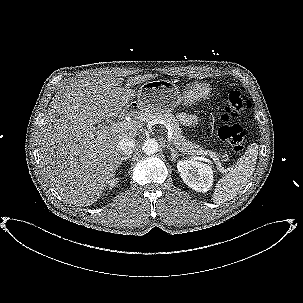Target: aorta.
<instances>
[{
  "label": "aorta",
  "instance_id": "1",
  "mask_svg": "<svg viewBox=\"0 0 303 303\" xmlns=\"http://www.w3.org/2000/svg\"><path fill=\"white\" fill-rule=\"evenodd\" d=\"M159 144L155 139L148 138L145 140L142 150L147 155L155 154L158 151Z\"/></svg>",
  "mask_w": 303,
  "mask_h": 303
}]
</instances>
